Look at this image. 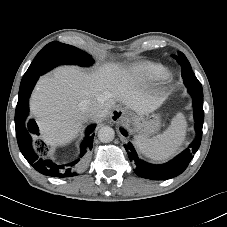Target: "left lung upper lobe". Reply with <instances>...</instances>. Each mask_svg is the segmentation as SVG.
Masks as SVG:
<instances>
[{
    "label": "left lung upper lobe",
    "instance_id": "obj_1",
    "mask_svg": "<svg viewBox=\"0 0 227 227\" xmlns=\"http://www.w3.org/2000/svg\"><path fill=\"white\" fill-rule=\"evenodd\" d=\"M173 58L181 65L182 78L189 93H203L201 83L196 78L192 71L191 65L186 56L182 52H178V55H172Z\"/></svg>",
    "mask_w": 227,
    "mask_h": 227
}]
</instances>
